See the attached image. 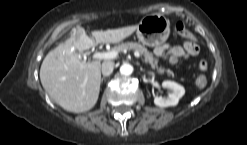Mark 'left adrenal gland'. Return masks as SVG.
<instances>
[{
	"mask_svg": "<svg viewBox=\"0 0 247 145\" xmlns=\"http://www.w3.org/2000/svg\"><path fill=\"white\" fill-rule=\"evenodd\" d=\"M143 71V69H141ZM149 75H154L153 72H147Z\"/></svg>",
	"mask_w": 247,
	"mask_h": 145,
	"instance_id": "obj_1",
	"label": "left adrenal gland"
}]
</instances>
